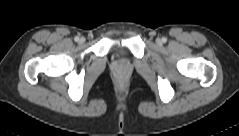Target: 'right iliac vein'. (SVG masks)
<instances>
[{"instance_id": "obj_1", "label": "right iliac vein", "mask_w": 239, "mask_h": 136, "mask_svg": "<svg viewBox=\"0 0 239 136\" xmlns=\"http://www.w3.org/2000/svg\"><path fill=\"white\" fill-rule=\"evenodd\" d=\"M84 41H85V39L83 37L79 39V43H81V44L84 43Z\"/></svg>"}]
</instances>
